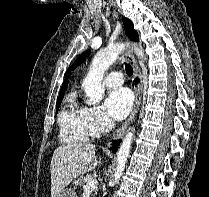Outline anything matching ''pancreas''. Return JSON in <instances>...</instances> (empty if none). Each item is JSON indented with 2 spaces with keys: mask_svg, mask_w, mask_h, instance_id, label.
<instances>
[{
  "mask_svg": "<svg viewBox=\"0 0 209 197\" xmlns=\"http://www.w3.org/2000/svg\"><path fill=\"white\" fill-rule=\"evenodd\" d=\"M94 179L93 176L91 175H86V176H80L79 178H77L75 181H74V185L75 186H82L83 188H85L86 184L88 181ZM94 193L96 194L97 193V189H95Z\"/></svg>",
  "mask_w": 209,
  "mask_h": 197,
  "instance_id": "pancreas-1",
  "label": "pancreas"
}]
</instances>
